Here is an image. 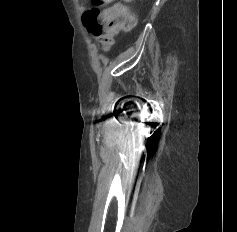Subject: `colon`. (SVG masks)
<instances>
[{
  "instance_id": "5ec220e1",
  "label": "colon",
  "mask_w": 237,
  "mask_h": 232,
  "mask_svg": "<svg viewBox=\"0 0 237 232\" xmlns=\"http://www.w3.org/2000/svg\"><path fill=\"white\" fill-rule=\"evenodd\" d=\"M126 3L131 0H124ZM94 7L83 14V23L92 35L99 41L104 50L114 43L115 36L124 31H130L136 24L137 16L127 4L115 3L101 9L113 0H92Z\"/></svg>"
}]
</instances>
